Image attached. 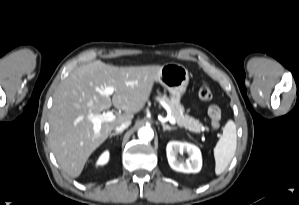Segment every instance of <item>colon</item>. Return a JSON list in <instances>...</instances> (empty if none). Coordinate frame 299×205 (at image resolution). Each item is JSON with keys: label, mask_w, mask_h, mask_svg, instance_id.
<instances>
[{"label": "colon", "mask_w": 299, "mask_h": 205, "mask_svg": "<svg viewBox=\"0 0 299 205\" xmlns=\"http://www.w3.org/2000/svg\"><path fill=\"white\" fill-rule=\"evenodd\" d=\"M199 97L202 100H210L212 98V91L207 81H202L199 88ZM209 116L211 119V125L214 130H218L220 127V111L217 107L209 109Z\"/></svg>", "instance_id": "obj_1"}]
</instances>
